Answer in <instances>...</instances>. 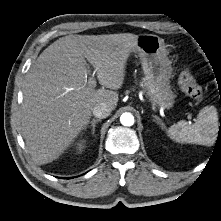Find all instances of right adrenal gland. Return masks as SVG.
Here are the masks:
<instances>
[{"label": "right adrenal gland", "mask_w": 221, "mask_h": 221, "mask_svg": "<svg viewBox=\"0 0 221 221\" xmlns=\"http://www.w3.org/2000/svg\"><path fill=\"white\" fill-rule=\"evenodd\" d=\"M100 121H101V119H92L90 121V125L86 126L84 129L86 130L88 127H90L91 131H92V135H94L96 124Z\"/></svg>", "instance_id": "2a0ac1e0"}]
</instances>
